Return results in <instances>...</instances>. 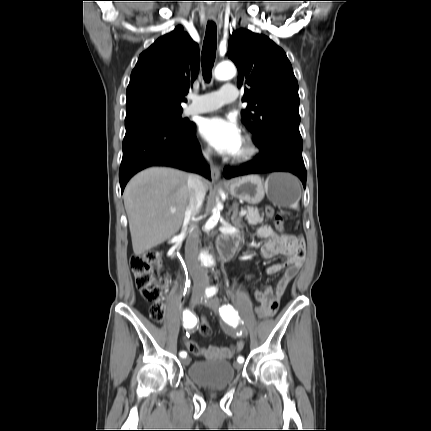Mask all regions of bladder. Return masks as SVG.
<instances>
[{
    "label": "bladder",
    "mask_w": 431,
    "mask_h": 431,
    "mask_svg": "<svg viewBox=\"0 0 431 431\" xmlns=\"http://www.w3.org/2000/svg\"><path fill=\"white\" fill-rule=\"evenodd\" d=\"M187 374L191 381L207 389L228 387L236 379V369L227 360L196 361L188 367Z\"/></svg>",
    "instance_id": "1"
}]
</instances>
